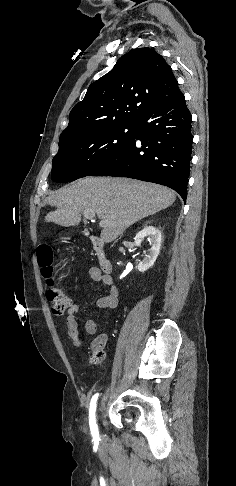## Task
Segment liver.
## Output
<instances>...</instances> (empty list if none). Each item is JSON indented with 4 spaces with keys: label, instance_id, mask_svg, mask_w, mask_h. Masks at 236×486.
I'll list each match as a JSON object with an SVG mask.
<instances>
[{
    "label": "liver",
    "instance_id": "obj_1",
    "mask_svg": "<svg viewBox=\"0 0 236 486\" xmlns=\"http://www.w3.org/2000/svg\"><path fill=\"white\" fill-rule=\"evenodd\" d=\"M175 193L161 185L127 178L86 177L65 186L45 200L57 207L46 222L78 225L81 214L92 210L105 222L101 239L110 243L137 221L172 205Z\"/></svg>",
    "mask_w": 236,
    "mask_h": 486
}]
</instances>
